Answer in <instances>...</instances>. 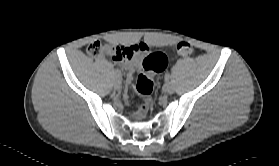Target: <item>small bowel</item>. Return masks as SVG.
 <instances>
[{
	"label": "small bowel",
	"instance_id": "small-bowel-1",
	"mask_svg": "<svg viewBox=\"0 0 279 166\" xmlns=\"http://www.w3.org/2000/svg\"><path fill=\"white\" fill-rule=\"evenodd\" d=\"M134 46L138 48V51H137V53H135L130 58H118L115 55H113L112 53L107 52V54L112 56V59L116 63L121 65L127 71V80L129 82L133 78V73H134L135 69L140 67V62H139V59L137 58L136 55L140 52H145V51H148L150 49L149 46L147 44H144V43L134 45ZM163 55L165 56V59H166V64H165V68H166V66L168 64V58L165 54H163ZM124 98L127 99V95H125Z\"/></svg>",
	"mask_w": 279,
	"mask_h": 166
}]
</instances>
